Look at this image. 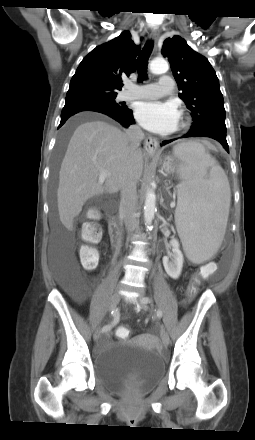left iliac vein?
<instances>
[{
  "mask_svg": "<svg viewBox=\"0 0 255 440\" xmlns=\"http://www.w3.org/2000/svg\"><path fill=\"white\" fill-rule=\"evenodd\" d=\"M143 298H144V296H139V297L137 298V300H136V303H137L138 306H140L141 308H143V309L146 310V309H148V306H147L146 303H144V302L142 301ZM161 339H162V343H163V345H164L165 347H167V346L169 345L170 339H169V335H168V333L166 332V330H165L164 327H161Z\"/></svg>",
  "mask_w": 255,
  "mask_h": 440,
  "instance_id": "1",
  "label": "left iliac vein"
}]
</instances>
